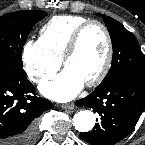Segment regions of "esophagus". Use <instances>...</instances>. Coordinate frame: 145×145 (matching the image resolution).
<instances>
[{
    "mask_svg": "<svg viewBox=\"0 0 145 145\" xmlns=\"http://www.w3.org/2000/svg\"><path fill=\"white\" fill-rule=\"evenodd\" d=\"M62 109H73L75 107L74 103L62 104L60 106Z\"/></svg>",
    "mask_w": 145,
    "mask_h": 145,
    "instance_id": "1",
    "label": "esophagus"
}]
</instances>
